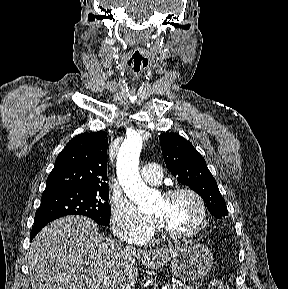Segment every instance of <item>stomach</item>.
Wrapping results in <instances>:
<instances>
[{
	"instance_id": "stomach-1",
	"label": "stomach",
	"mask_w": 288,
	"mask_h": 289,
	"mask_svg": "<svg viewBox=\"0 0 288 289\" xmlns=\"http://www.w3.org/2000/svg\"><path fill=\"white\" fill-rule=\"evenodd\" d=\"M213 255L203 244H186L177 247L171 258L173 275L184 282H196L211 269Z\"/></svg>"
}]
</instances>
